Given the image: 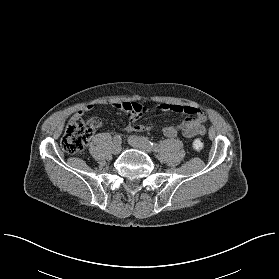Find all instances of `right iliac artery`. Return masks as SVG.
Segmentation results:
<instances>
[{"label": "right iliac artery", "mask_w": 279, "mask_h": 279, "mask_svg": "<svg viewBox=\"0 0 279 279\" xmlns=\"http://www.w3.org/2000/svg\"><path fill=\"white\" fill-rule=\"evenodd\" d=\"M114 143L116 144V143H119V144H121V137H120V135H118V134H116L115 136H114Z\"/></svg>", "instance_id": "1"}]
</instances>
